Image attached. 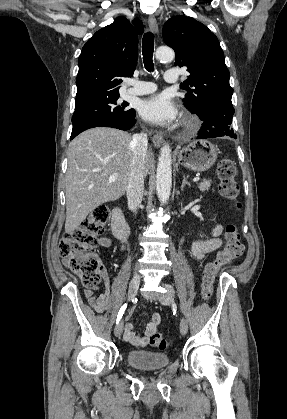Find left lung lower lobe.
<instances>
[{
	"label": "left lung lower lobe",
	"instance_id": "1",
	"mask_svg": "<svg viewBox=\"0 0 287 419\" xmlns=\"http://www.w3.org/2000/svg\"><path fill=\"white\" fill-rule=\"evenodd\" d=\"M235 110L231 101H214L206 105L205 110L197 114L202 120V127L197 139L230 136L237 138L231 128Z\"/></svg>",
	"mask_w": 287,
	"mask_h": 419
}]
</instances>
